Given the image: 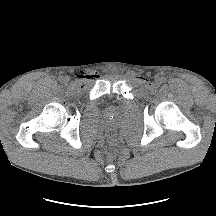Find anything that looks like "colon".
<instances>
[{
  "label": "colon",
  "instance_id": "5ec220e1",
  "mask_svg": "<svg viewBox=\"0 0 216 216\" xmlns=\"http://www.w3.org/2000/svg\"><path fill=\"white\" fill-rule=\"evenodd\" d=\"M108 141L110 143H115L117 141V134L115 131L110 130L107 134Z\"/></svg>",
  "mask_w": 216,
  "mask_h": 216
}]
</instances>
